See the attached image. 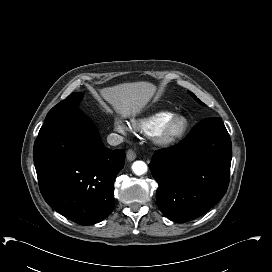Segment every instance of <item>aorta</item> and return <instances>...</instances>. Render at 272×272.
Wrapping results in <instances>:
<instances>
[{
	"mask_svg": "<svg viewBox=\"0 0 272 272\" xmlns=\"http://www.w3.org/2000/svg\"><path fill=\"white\" fill-rule=\"evenodd\" d=\"M132 170L136 175H143L147 172V165L143 161H136L132 165Z\"/></svg>",
	"mask_w": 272,
	"mask_h": 272,
	"instance_id": "aorta-1",
	"label": "aorta"
}]
</instances>
